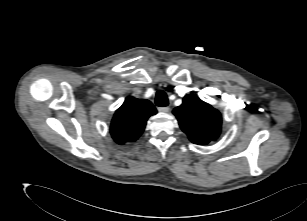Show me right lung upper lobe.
<instances>
[{"mask_svg":"<svg viewBox=\"0 0 307 221\" xmlns=\"http://www.w3.org/2000/svg\"><path fill=\"white\" fill-rule=\"evenodd\" d=\"M156 113L157 110L150 101L127 97L112 119L110 132L113 139L118 144L137 140L147 119Z\"/></svg>","mask_w":307,"mask_h":221,"instance_id":"cb5924a9","label":"right lung upper lobe"}]
</instances>
